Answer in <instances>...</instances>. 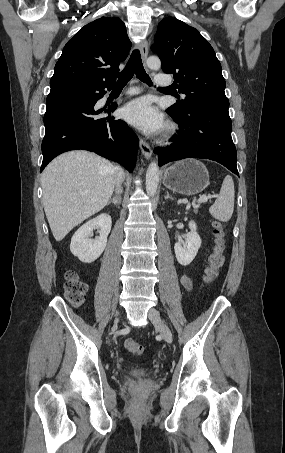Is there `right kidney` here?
<instances>
[{
	"instance_id": "obj_1",
	"label": "right kidney",
	"mask_w": 285,
	"mask_h": 453,
	"mask_svg": "<svg viewBox=\"0 0 285 453\" xmlns=\"http://www.w3.org/2000/svg\"><path fill=\"white\" fill-rule=\"evenodd\" d=\"M111 226L112 220L108 214L103 213L89 220L74 233L70 243V251L84 263L94 262L100 257L107 245ZM94 228L100 229V236L91 240L89 236Z\"/></svg>"
}]
</instances>
